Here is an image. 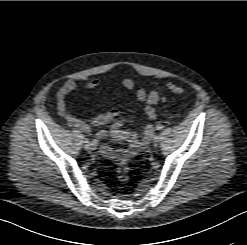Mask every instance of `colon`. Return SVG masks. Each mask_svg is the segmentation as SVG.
Listing matches in <instances>:
<instances>
[{
  "label": "colon",
  "instance_id": "colon-1",
  "mask_svg": "<svg viewBox=\"0 0 247 245\" xmlns=\"http://www.w3.org/2000/svg\"><path fill=\"white\" fill-rule=\"evenodd\" d=\"M169 89L172 93L176 94V95H185L186 94V90L178 85H170ZM162 98L161 94L159 91H152L149 94L148 97V101L151 104L157 103L158 101H160ZM117 179L119 182L126 184L129 180H130V167L128 164L127 159H121L118 163L117 166Z\"/></svg>",
  "mask_w": 247,
  "mask_h": 245
}]
</instances>
